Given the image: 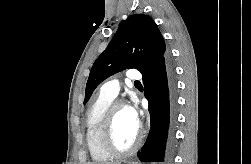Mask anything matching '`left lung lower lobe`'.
Listing matches in <instances>:
<instances>
[{
  "label": "left lung lower lobe",
  "mask_w": 251,
  "mask_h": 164,
  "mask_svg": "<svg viewBox=\"0 0 251 164\" xmlns=\"http://www.w3.org/2000/svg\"><path fill=\"white\" fill-rule=\"evenodd\" d=\"M143 83L151 129L137 156L142 162L168 161L176 122V82L169 56L143 75Z\"/></svg>",
  "instance_id": "obj_1"
}]
</instances>
